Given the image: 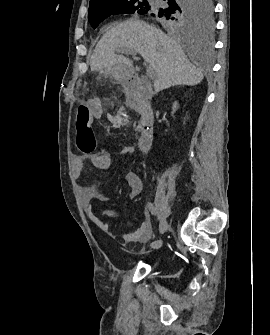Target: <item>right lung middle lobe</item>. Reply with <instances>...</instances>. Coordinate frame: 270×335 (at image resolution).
I'll return each mask as SVG.
<instances>
[{
  "mask_svg": "<svg viewBox=\"0 0 270 335\" xmlns=\"http://www.w3.org/2000/svg\"><path fill=\"white\" fill-rule=\"evenodd\" d=\"M212 0H167L158 7L148 0H114L89 8L88 20L96 28L105 18L115 14H148L160 25L172 29H186L198 25L212 26Z\"/></svg>",
  "mask_w": 270,
  "mask_h": 335,
  "instance_id": "1",
  "label": "right lung middle lobe"
}]
</instances>
